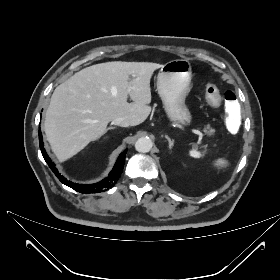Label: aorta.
<instances>
[{"label": "aorta", "instance_id": "762f6f07", "mask_svg": "<svg viewBox=\"0 0 280 280\" xmlns=\"http://www.w3.org/2000/svg\"><path fill=\"white\" fill-rule=\"evenodd\" d=\"M152 140L149 137H141L135 142V149L141 153H147L152 149Z\"/></svg>", "mask_w": 280, "mask_h": 280}]
</instances>
